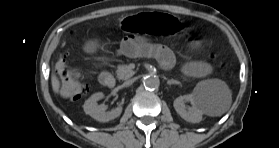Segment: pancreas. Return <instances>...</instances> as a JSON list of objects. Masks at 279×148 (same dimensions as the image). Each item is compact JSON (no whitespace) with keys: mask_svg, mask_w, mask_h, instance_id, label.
I'll use <instances>...</instances> for the list:
<instances>
[{"mask_svg":"<svg viewBox=\"0 0 279 148\" xmlns=\"http://www.w3.org/2000/svg\"><path fill=\"white\" fill-rule=\"evenodd\" d=\"M116 74L118 79L126 80L132 77L135 74V72L128 65L122 64L118 65ZM183 79L186 80L185 78Z\"/></svg>","mask_w":279,"mask_h":148,"instance_id":"1","label":"pancreas"}]
</instances>
